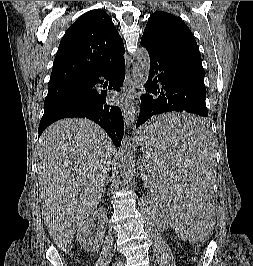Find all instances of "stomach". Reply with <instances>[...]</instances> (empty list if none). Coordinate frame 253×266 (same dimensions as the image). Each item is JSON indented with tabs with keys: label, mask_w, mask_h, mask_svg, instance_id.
Masks as SVG:
<instances>
[{
	"label": "stomach",
	"mask_w": 253,
	"mask_h": 266,
	"mask_svg": "<svg viewBox=\"0 0 253 266\" xmlns=\"http://www.w3.org/2000/svg\"><path fill=\"white\" fill-rule=\"evenodd\" d=\"M140 146L144 149L143 146V139L144 138H151L148 134V132L144 131V126L137 132V136H136Z\"/></svg>",
	"instance_id": "1"
}]
</instances>
